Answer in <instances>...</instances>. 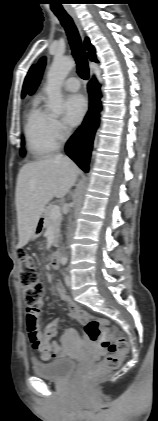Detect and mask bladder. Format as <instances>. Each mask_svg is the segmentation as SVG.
Here are the masks:
<instances>
[{
    "instance_id": "31cf9c89",
    "label": "bladder",
    "mask_w": 158,
    "mask_h": 421,
    "mask_svg": "<svg viewBox=\"0 0 158 421\" xmlns=\"http://www.w3.org/2000/svg\"><path fill=\"white\" fill-rule=\"evenodd\" d=\"M76 361L70 357H60L53 361H35L32 369L35 375L51 380L67 378L76 368Z\"/></svg>"
}]
</instances>
